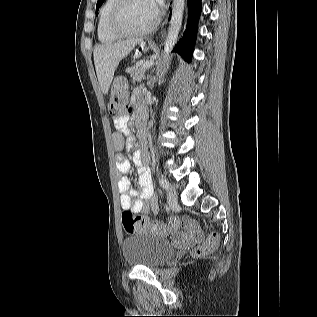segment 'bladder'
I'll use <instances>...</instances> for the list:
<instances>
[{"label": "bladder", "mask_w": 317, "mask_h": 317, "mask_svg": "<svg viewBox=\"0 0 317 317\" xmlns=\"http://www.w3.org/2000/svg\"><path fill=\"white\" fill-rule=\"evenodd\" d=\"M122 251L126 262L131 265L156 267L168 261L174 255L175 248L165 238L141 233L125 238Z\"/></svg>", "instance_id": "1"}]
</instances>
